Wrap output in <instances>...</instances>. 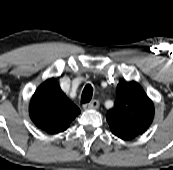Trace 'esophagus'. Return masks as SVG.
<instances>
[{
  "label": "esophagus",
  "instance_id": "34e87169",
  "mask_svg": "<svg viewBox=\"0 0 173 170\" xmlns=\"http://www.w3.org/2000/svg\"><path fill=\"white\" fill-rule=\"evenodd\" d=\"M99 101L98 100H93L91 101L90 103H87V104H84L83 105V108L85 110H88V109H98L99 108Z\"/></svg>",
  "mask_w": 173,
  "mask_h": 170
}]
</instances>
